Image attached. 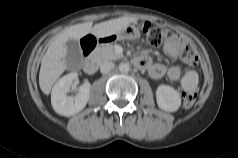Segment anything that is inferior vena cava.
<instances>
[{
    "label": "inferior vena cava",
    "instance_id": "obj_1",
    "mask_svg": "<svg viewBox=\"0 0 238 158\" xmlns=\"http://www.w3.org/2000/svg\"><path fill=\"white\" fill-rule=\"evenodd\" d=\"M114 68V63L113 62H105L100 66V71L103 74H106L110 72Z\"/></svg>",
    "mask_w": 238,
    "mask_h": 158
}]
</instances>
